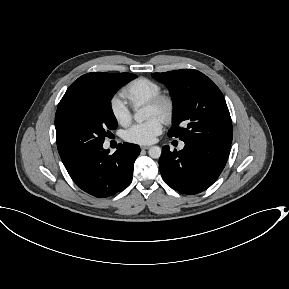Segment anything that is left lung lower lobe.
I'll return each mask as SVG.
<instances>
[{
    "instance_id": "1",
    "label": "left lung lower lobe",
    "mask_w": 289,
    "mask_h": 289,
    "mask_svg": "<svg viewBox=\"0 0 289 289\" xmlns=\"http://www.w3.org/2000/svg\"><path fill=\"white\" fill-rule=\"evenodd\" d=\"M185 147L173 152L164 146L159 169L164 181L184 194H197L221 174L228 159L230 144L206 140L184 141Z\"/></svg>"
}]
</instances>
